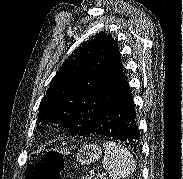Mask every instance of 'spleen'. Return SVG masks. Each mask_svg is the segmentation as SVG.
Wrapping results in <instances>:
<instances>
[{
  "label": "spleen",
  "instance_id": "obj_1",
  "mask_svg": "<svg viewBox=\"0 0 183 179\" xmlns=\"http://www.w3.org/2000/svg\"><path fill=\"white\" fill-rule=\"evenodd\" d=\"M103 147V168L111 179H124L134 172L135 160L127 148L113 141H106Z\"/></svg>",
  "mask_w": 183,
  "mask_h": 179
}]
</instances>
